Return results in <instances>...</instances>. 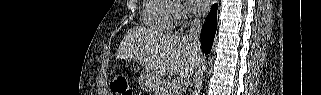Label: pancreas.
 <instances>
[{
	"label": "pancreas",
	"mask_w": 321,
	"mask_h": 95,
	"mask_svg": "<svg viewBox=\"0 0 321 95\" xmlns=\"http://www.w3.org/2000/svg\"><path fill=\"white\" fill-rule=\"evenodd\" d=\"M156 95H179V89L173 88L171 80L162 81L157 87Z\"/></svg>",
	"instance_id": "pancreas-1"
}]
</instances>
